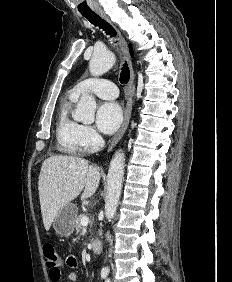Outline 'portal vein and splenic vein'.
Segmentation results:
<instances>
[{
    "instance_id": "1",
    "label": "portal vein and splenic vein",
    "mask_w": 232,
    "mask_h": 282,
    "mask_svg": "<svg viewBox=\"0 0 232 282\" xmlns=\"http://www.w3.org/2000/svg\"><path fill=\"white\" fill-rule=\"evenodd\" d=\"M81 224L86 227L89 224V218L87 216L82 217Z\"/></svg>"
}]
</instances>
